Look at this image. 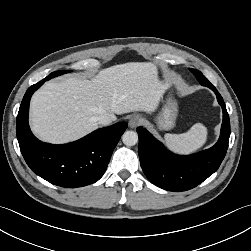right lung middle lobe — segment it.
Here are the masks:
<instances>
[{"label": "right lung middle lobe", "instance_id": "1", "mask_svg": "<svg viewBox=\"0 0 251 251\" xmlns=\"http://www.w3.org/2000/svg\"><path fill=\"white\" fill-rule=\"evenodd\" d=\"M68 72H69L68 70L55 71V72L49 74V75L46 77V80H49V79H51V78H53V77H56V76H59V75H62V74H64V73H68Z\"/></svg>", "mask_w": 251, "mask_h": 251}]
</instances>
